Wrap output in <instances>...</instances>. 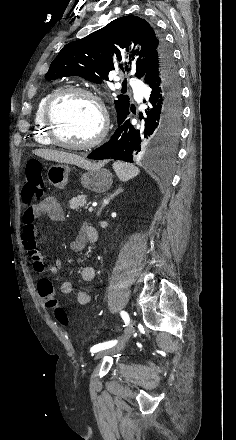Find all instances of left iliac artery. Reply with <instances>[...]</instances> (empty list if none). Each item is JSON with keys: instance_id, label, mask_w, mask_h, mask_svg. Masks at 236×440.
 I'll return each mask as SVG.
<instances>
[{"instance_id": "left-iliac-artery-1", "label": "left iliac artery", "mask_w": 236, "mask_h": 440, "mask_svg": "<svg viewBox=\"0 0 236 440\" xmlns=\"http://www.w3.org/2000/svg\"><path fill=\"white\" fill-rule=\"evenodd\" d=\"M120 315H121L122 319L125 322V326H127L128 323H129V320H130L128 313L125 312V311H121ZM116 343H117V340H111V341H107V342H104V343H100V344L94 345L90 349V351L92 353H95V352H98V351H101V350H105V349L113 347L114 345H116Z\"/></svg>"}]
</instances>
